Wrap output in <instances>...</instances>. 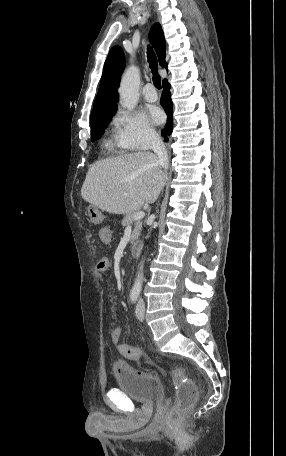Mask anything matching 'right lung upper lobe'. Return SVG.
Here are the masks:
<instances>
[{"label": "right lung upper lobe", "instance_id": "obj_1", "mask_svg": "<svg viewBox=\"0 0 286 456\" xmlns=\"http://www.w3.org/2000/svg\"><path fill=\"white\" fill-rule=\"evenodd\" d=\"M149 38L155 48L160 65L166 67V43L159 23L152 26ZM124 67L125 55L122 48L119 46L112 47L104 64L99 90L93 104L91 122L107 112L117 109V86Z\"/></svg>", "mask_w": 286, "mask_h": 456}]
</instances>
